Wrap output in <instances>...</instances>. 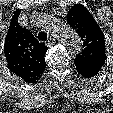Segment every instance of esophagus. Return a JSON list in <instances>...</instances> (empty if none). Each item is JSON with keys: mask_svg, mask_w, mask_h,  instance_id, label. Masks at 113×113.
Here are the masks:
<instances>
[{"mask_svg": "<svg viewBox=\"0 0 113 113\" xmlns=\"http://www.w3.org/2000/svg\"><path fill=\"white\" fill-rule=\"evenodd\" d=\"M55 43H56V40H55L54 38L50 37V38L48 39V41L46 42V45L52 46V45H54Z\"/></svg>", "mask_w": 113, "mask_h": 113, "instance_id": "esophagus-1", "label": "esophagus"}]
</instances>
